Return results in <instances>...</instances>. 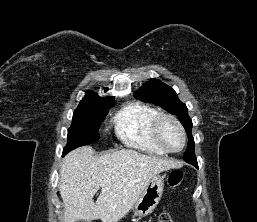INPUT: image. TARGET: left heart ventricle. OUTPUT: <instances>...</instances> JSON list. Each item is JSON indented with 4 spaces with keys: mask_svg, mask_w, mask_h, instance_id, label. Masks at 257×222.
Returning a JSON list of instances; mask_svg holds the SVG:
<instances>
[{
    "mask_svg": "<svg viewBox=\"0 0 257 222\" xmlns=\"http://www.w3.org/2000/svg\"><path fill=\"white\" fill-rule=\"evenodd\" d=\"M160 136L165 145L172 150H177L182 146L183 139L178 127L169 120L162 121L160 125Z\"/></svg>",
    "mask_w": 257,
    "mask_h": 222,
    "instance_id": "b2bd125f",
    "label": "left heart ventricle"
}]
</instances>
